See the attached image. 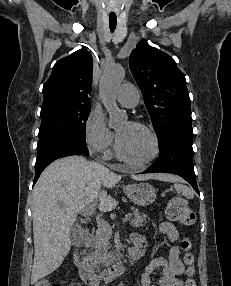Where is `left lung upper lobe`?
I'll return each instance as SVG.
<instances>
[{
  "mask_svg": "<svg viewBox=\"0 0 231 286\" xmlns=\"http://www.w3.org/2000/svg\"><path fill=\"white\" fill-rule=\"evenodd\" d=\"M157 136L169 125L192 123L184 74L172 57L142 39L129 58Z\"/></svg>",
  "mask_w": 231,
  "mask_h": 286,
  "instance_id": "obj_1",
  "label": "left lung upper lobe"
}]
</instances>
